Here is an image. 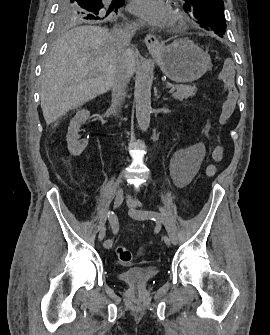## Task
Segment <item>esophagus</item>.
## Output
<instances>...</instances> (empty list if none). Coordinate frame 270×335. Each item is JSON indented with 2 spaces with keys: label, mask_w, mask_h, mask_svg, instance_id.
<instances>
[{
  "label": "esophagus",
  "mask_w": 270,
  "mask_h": 335,
  "mask_svg": "<svg viewBox=\"0 0 270 335\" xmlns=\"http://www.w3.org/2000/svg\"><path fill=\"white\" fill-rule=\"evenodd\" d=\"M145 44L148 47L149 50H156L159 49L161 47V44L158 40V38L153 35L152 33H149L148 35H146L145 39Z\"/></svg>",
  "instance_id": "obj_1"
}]
</instances>
